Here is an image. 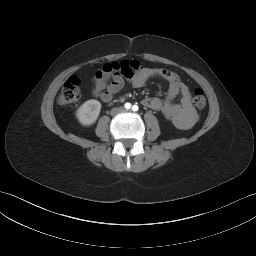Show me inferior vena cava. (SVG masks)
I'll return each instance as SVG.
<instances>
[{
	"instance_id": "602c4592",
	"label": "inferior vena cava",
	"mask_w": 256,
	"mask_h": 256,
	"mask_svg": "<svg viewBox=\"0 0 256 256\" xmlns=\"http://www.w3.org/2000/svg\"><path fill=\"white\" fill-rule=\"evenodd\" d=\"M122 111H123L122 108H113L110 113L111 115H116L118 113H121Z\"/></svg>"
}]
</instances>
